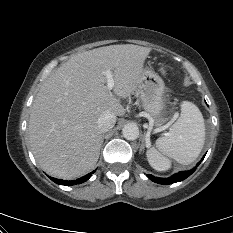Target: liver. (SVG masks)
I'll list each match as a JSON object with an SVG mask.
<instances>
[{
    "mask_svg": "<svg viewBox=\"0 0 233 233\" xmlns=\"http://www.w3.org/2000/svg\"><path fill=\"white\" fill-rule=\"evenodd\" d=\"M151 48L110 45L82 52L62 64L41 86L32 106L29 139L34 157L48 174L75 179L96 165L102 145L98 118L123 116L113 93L129 97L138 89ZM112 71L113 93L105 72Z\"/></svg>",
    "mask_w": 233,
    "mask_h": 233,
    "instance_id": "1",
    "label": "liver"
}]
</instances>
